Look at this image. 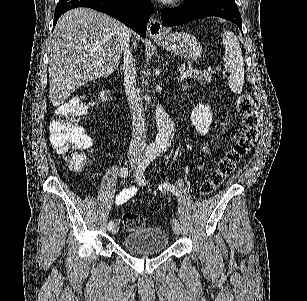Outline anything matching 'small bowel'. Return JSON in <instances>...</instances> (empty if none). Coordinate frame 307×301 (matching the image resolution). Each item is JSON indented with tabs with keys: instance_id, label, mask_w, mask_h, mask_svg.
I'll use <instances>...</instances> for the list:
<instances>
[{
	"instance_id": "obj_1",
	"label": "small bowel",
	"mask_w": 307,
	"mask_h": 301,
	"mask_svg": "<svg viewBox=\"0 0 307 301\" xmlns=\"http://www.w3.org/2000/svg\"><path fill=\"white\" fill-rule=\"evenodd\" d=\"M138 191V187L136 185H132L128 188L123 189L116 197L115 204L122 205L130 200Z\"/></svg>"
}]
</instances>
